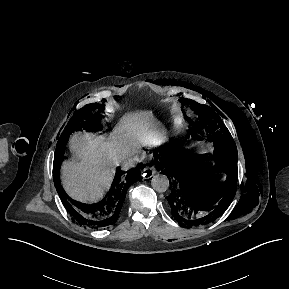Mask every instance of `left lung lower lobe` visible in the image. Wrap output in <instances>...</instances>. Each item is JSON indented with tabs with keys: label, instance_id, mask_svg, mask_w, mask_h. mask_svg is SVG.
Listing matches in <instances>:
<instances>
[{
	"label": "left lung lower lobe",
	"instance_id": "left-lung-lower-lobe-1",
	"mask_svg": "<svg viewBox=\"0 0 289 289\" xmlns=\"http://www.w3.org/2000/svg\"><path fill=\"white\" fill-rule=\"evenodd\" d=\"M196 159L197 155L189 149H171L165 155L163 165V174L169 178L172 188L166 197L170 210L179 224L186 228L215 221L230 205L236 192L237 162L226 168L216 162L218 169L227 172V188H220L213 194H201L192 180Z\"/></svg>",
	"mask_w": 289,
	"mask_h": 289
}]
</instances>
